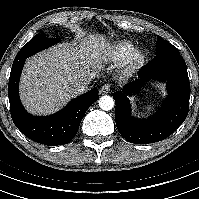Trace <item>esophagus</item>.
Wrapping results in <instances>:
<instances>
[{
	"instance_id": "34e87169",
	"label": "esophagus",
	"mask_w": 199,
	"mask_h": 199,
	"mask_svg": "<svg viewBox=\"0 0 199 199\" xmlns=\"http://www.w3.org/2000/svg\"><path fill=\"white\" fill-rule=\"evenodd\" d=\"M111 91V86L109 84H105L100 88L101 94H107Z\"/></svg>"
}]
</instances>
